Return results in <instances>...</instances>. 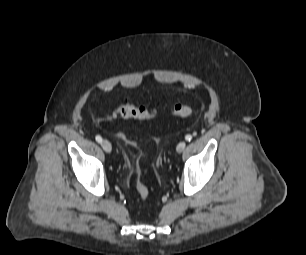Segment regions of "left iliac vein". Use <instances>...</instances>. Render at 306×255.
<instances>
[{
  "instance_id": "1",
  "label": "left iliac vein",
  "mask_w": 306,
  "mask_h": 255,
  "mask_svg": "<svg viewBox=\"0 0 306 255\" xmlns=\"http://www.w3.org/2000/svg\"><path fill=\"white\" fill-rule=\"evenodd\" d=\"M185 147H186V142H185V141H181V142L177 145L176 151H177L178 153H181V152H183V150L185 149Z\"/></svg>"
}]
</instances>
